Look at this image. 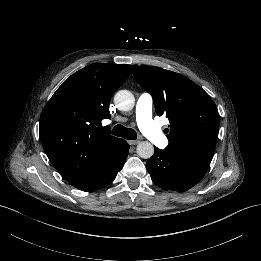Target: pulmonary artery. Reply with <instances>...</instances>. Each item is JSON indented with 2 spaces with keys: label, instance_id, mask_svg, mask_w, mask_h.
I'll use <instances>...</instances> for the list:
<instances>
[{
  "label": "pulmonary artery",
  "instance_id": "pulmonary-artery-1",
  "mask_svg": "<svg viewBox=\"0 0 261 261\" xmlns=\"http://www.w3.org/2000/svg\"><path fill=\"white\" fill-rule=\"evenodd\" d=\"M136 122L140 130L147 134V137L161 150H168L170 148V140L163 135L161 126L154 125L152 120L153 100L147 93H142L135 108Z\"/></svg>",
  "mask_w": 261,
  "mask_h": 261
}]
</instances>
